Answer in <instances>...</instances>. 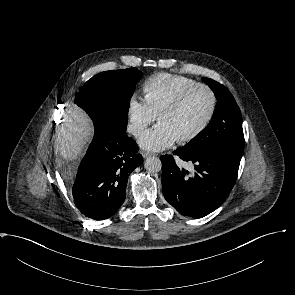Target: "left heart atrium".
<instances>
[{
	"mask_svg": "<svg viewBox=\"0 0 295 295\" xmlns=\"http://www.w3.org/2000/svg\"><path fill=\"white\" fill-rule=\"evenodd\" d=\"M178 137L166 125L160 123L151 130L145 132L139 139L142 148L151 151H161L171 147Z\"/></svg>",
	"mask_w": 295,
	"mask_h": 295,
	"instance_id": "left-heart-atrium-1",
	"label": "left heart atrium"
}]
</instances>
